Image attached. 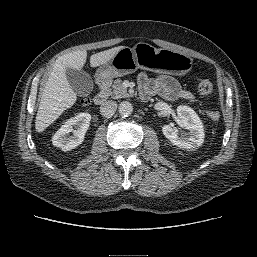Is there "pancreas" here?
Returning <instances> with one entry per match:
<instances>
[{"label": "pancreas", "instance_id": "1", "mask_svg": "<svg viewBox=\"0 0 257 257\" xmlns=\"http://www.w3.org/2000/svg\"><path fill=\"white\" fill-rule=\"evenodd\" d=\"M104 92L107 96H111L114 99L129 97L126 88L122 85L121 79L115 80L112 87L108 88Z\"/></svg>", "mask_w": 257, "mask_h": 257}]
</instances>
